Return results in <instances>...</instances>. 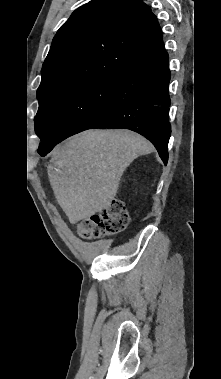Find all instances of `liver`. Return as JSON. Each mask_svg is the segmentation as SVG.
<instances>
[{"label":"liver","instance_id":"6515ba94","mask_svg":"<svg viewBox=\"0 0 221 379\" xmlns=\"http://www.w3.org/2000/svg\"><path fill=\"white\" fill-rule=\"evenodd\" d=\"M152 144L129 130H89L51 153L48 176L58 204L75 224L109 207L121 177Z\"/></svg>","mask_w":221,"mask_h":379}]
</instances>
